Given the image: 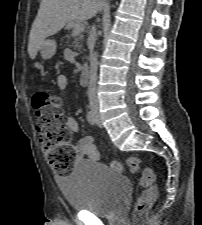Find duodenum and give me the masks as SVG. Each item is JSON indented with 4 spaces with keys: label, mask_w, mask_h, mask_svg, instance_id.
I'll list each match as a JSON object with an SVG mask.
<instances>
[{
    "label": "duodenum",
    "mask_w": 202,
    "mask_h": 225,
    "mask_svg": "<svg viewBox=\"0 0 202 225\" xmlns=\"http://www.w3.org/2000/svg\"><path fill=\"white\" fill-rule=\"evenodd\" d=\"M81 81L84 84H88L90 81V71H89V66L87 64H84L81 69Z\"/></svg>",
    "instance_id": "410a0bca"
}]
</instances>
